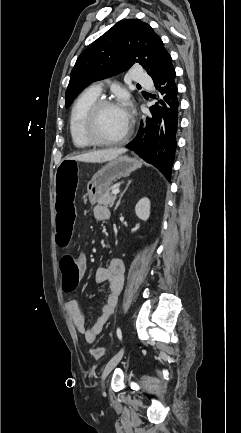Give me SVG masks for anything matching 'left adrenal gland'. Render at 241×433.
<instances>
[{
  "label": "left adrenal gland",
  "instance_id": "obj_1",
  "mask_svg": "<svg viewBox=\"0 0 241 433\" xmlns=\"http://www.w3.org/2000/svg\"><path fill=\"white\" fill-rule=\"evenodd\" d=\"M131 182H132L131 180L128 181V183H127V185H126L124 191H123L122 194L120 195L119 200L117 201V204H116L115 210L119 207L120 202H121V199H122L123 195L125 194V192L127 191V189H128V187H129V185L131 184Z\"/></svg>",
  "mask_w": 241,
  "mask_h": 433
}]
</instances>
